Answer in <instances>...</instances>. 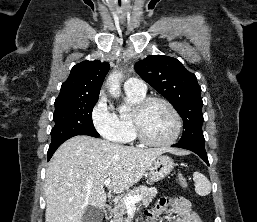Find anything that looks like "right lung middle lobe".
Segmentation results:
<instances>
[{
  "mask_svg": "<svg viewBox=\"0 0 257 222\" xmlns=\"http://www.w3.org/2000/svg\"><path fill=\"white\" fill-rule=\"evenodd\" d=\"M97 101L98 95L55 102L51 145L76 135L99 137L92 122V110Z\"/></svg>",
  "mask_w": 257,
  "mask_h": 222,
  "instance_id": "dd1d6c3e",
  "label": "right lung middle lobe"
}]
</instances>
